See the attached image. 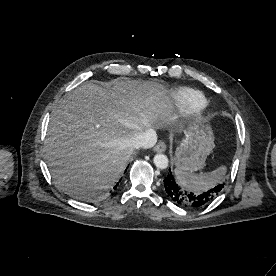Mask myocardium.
I'll list each match as a JSON object with an SVG mask.
<instances>
[{"mask_svg": "<svg viewBox=\"0 0 276 276\" xmlns=\"http://www.w3.org/2000/svg\"><path fill=\"white\" fill-rule=\"evenodd\" d=\"M194 113L198 119H202L206 114V106L204 105L202 107H199L194 111Z\"/></svg>", "mask_w": 276, "mask_h": 276, "instance_id": "myocardium-1", "label": "myocardium"}]
</instances>
